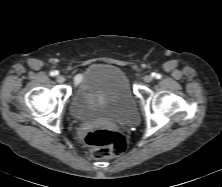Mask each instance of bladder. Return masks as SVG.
<instances>
[{"label": "bladder", "instance_id": "1", "mask_svg": "<svg viewBox=\"0 0 222 187\" xmlns=\"http://www.w3.org/2000/svg\"><path fill=\"white\" fill-rule=\"evenodd\" d=\"M68 111L79 122L102 119L116 125H133L139 120L129 80L113 64H95L85 71Z\"/></svg>", "mask_w": 222, "mask_h": 187}]
</instances>
